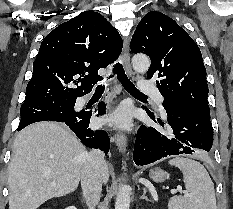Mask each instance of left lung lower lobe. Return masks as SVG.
<instances>
[{
  "label": "left lung lower lobe",
  "mask_w": 233,
  "mask_h": 209,
  "mask_svg": "<svg viewBox=\"0 0 233 209\" xmlns=\"http://www.w3.org/2000/svg\"><path fill=\"white\" fill-rule=\"evenodd\" d=\"M145 110L154 122L165 124L153 112ZM166 113V131L141 125L133 152L136 165H147L168 155L191 154L193 148L210 151L213 142L210 119L187 109L166 110Z\"/></svg>",
  "instance_id": "obj_1"
}]
</instances>
